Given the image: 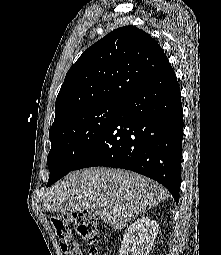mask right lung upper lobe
<instances>
[{
    "label": "right lung upper lobe",
    "mask_w": 221,
    "mask_h": 255,
    "mask_svg": "<svg viewBox=\"0 0 221 255\" xmlns=\"http://www.w3.org/2000/svg\"><path fill=\"white\" fill-rule=\"evenodd\" d=\"M168 64L160 45L143 30H113L85 50L67 72L52 126L81 109L121 103Z\"/></svg>",
    "instance_id": "right-lung-upper-lobe-1"
}]
</instances>
